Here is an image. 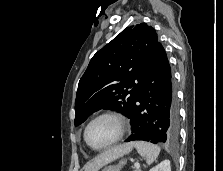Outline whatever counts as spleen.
<instances>
[{"instance_id": "3e777b00", "label": "spleen", "mask_w": 223, "mask_h": 171, "mask_svg": "<svg viewBox=\"0 0 223 171\" xmlns=\"http://www.w3.org/2000/svg\"><path fill=\"white\" fill-rule=\"evenodd\" d=\"M137 152L151 165L160 154V147L149 142L135 141L132 143Z\"/></svg>"}]
</instances>
